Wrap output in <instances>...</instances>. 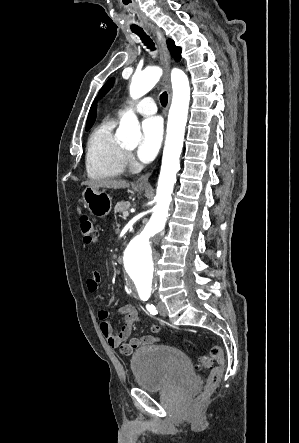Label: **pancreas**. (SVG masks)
Segmentation results:
<instances>
[{
  "label": "pancreas",
  "instance_id": "1",
  "mask_svg": "<svg viewBox=\"0 0 299 443\" xmlns=\"http://www.w3.org/2000/svg\"><path fill=\"white\" fill-rule=\"evenodd\" d=\"M129 207H130L129 201H121L116 204V206L114 208V212H115V214L119 213V212H125V211H128Z\"/></svg>",
  "mask_w": 299,
  "mask_h": 443
}]
</instances>
